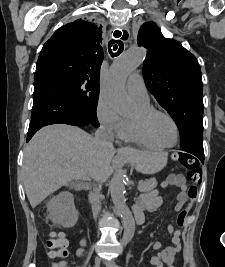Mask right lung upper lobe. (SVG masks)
<instances>
[{"mask_svg":"<svg viewBox=\"0 0 225 267\" xmlns=\"http://www.w3.org/2000/svg\"><path fill=\"white\" fill-rule=\"evenodd\" d=\"M96 24L76 20L59 28L44 44L36 73L66 74L99 85L103 50ZM35 73V74H36Z\"/></svg>","mask_w":225,"mask_h":267,"instance_id":"cb5924a9","label":"right lung upper lobe"}]
</instances>
